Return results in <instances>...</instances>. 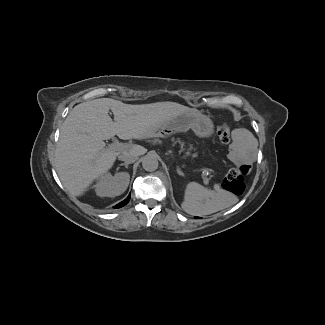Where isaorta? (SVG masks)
<instances>
[{
  "label": "aorta",
  "instance_id": "obj_1",
  "mask_svg": "<svg viewBox=\"0 0 325 325\" xmlns=\"http://www.w3.org/2000/svg\"><path fill=\"white\" fill-rule=\"evenodd\" d=\"M159 162L157 155L149 153L142 158V167L149 172H153L158 168Z\"/></svg>",
  "mask_w": 325,
  "mask_h": 325
}]
</instances>
